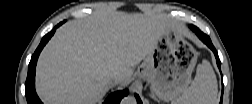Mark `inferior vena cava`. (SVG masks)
<instances>
[{
  "label": "inferior vena cava",
  "instance_id": "inferior-vena-cava-1",
  "mask_svg": "<svg viewBox=\"0 0 252 104\" xmlns=\"http://www.w3.org/2000/svg\"><path fill=\"white\" fill-rule=\"evenodd\" d=\"M120 81H121V77L120 76H113V77L110 78V84L112 86L117 85Z\"/></svg>",
  "mask_w": 252,
  "mask_h": 104
}]
</instances>
